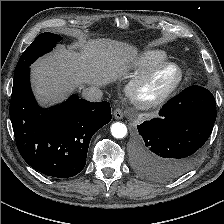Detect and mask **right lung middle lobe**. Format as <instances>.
Returning <instances> with one entry per match:
<instances>
[{"mask_svg":"<svg viewBox=\"0 0 224 224\" xmlns=\"http://www.w3.org/2000/svg\"><path fill=\"white\" fill-rule=\"evenodd\" d=\"M62 37L53 33L45 32L36 37L31 45L21 55L15 68L14 79L29 67L37 58L51 51Z\"/></svg>","mask_w":224,"mask_h":224,"instance_id":"1","label":"right lung middle lobe"}]
</instances>
